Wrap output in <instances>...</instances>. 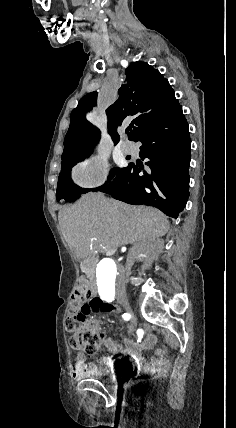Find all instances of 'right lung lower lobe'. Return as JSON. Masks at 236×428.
Masks as SVG:
<instances>
[{
	"label": "right lung lower lobe",
	"mask_w": 236,
	"mask_h": 428,
	"mask_svg": "<svg viewBox=\"0 0 236 428\" xmlns=\"http://www.w3.org/2000/svg\"><path fill=\"white\" fill-rule=\"evenodd\" d=\"M131 140L142 142L140 156L150 159L148 168L129 164L100 191L129 204L154 206L177 218L189 197L191 158V139L182 107L178 105L149 122Z\"/></svg>",
	"instance_id": "obj_1"
}]
</instances>
